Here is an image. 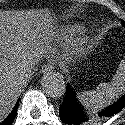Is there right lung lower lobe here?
<instances>
[{
	"mask_svg": "<svg viewBox=\"0 0 125 125\" xmlns=\"http://www.w3.org/2000/svg\"><path fill=\"white\" fill-rule=\"evenodd\" d=\"M18 105H19V101H17L10 115L0 125H11L13 123L15 116H16Z\"/></svg>",
	"mask_w": 125,
	"mask_h": 125,
	"instance_id": "obj_1",
	"label": "right lung lower lobe"
}]
</instances>
